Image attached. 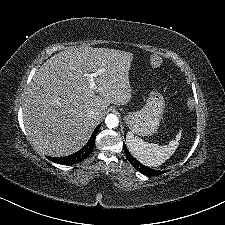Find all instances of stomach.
Listing matches in <instances>:
<instances>
[{
	"label": "stomach",
	"instance_id": "obj_1",
	"mask_svg": "<svg viewBox=\"0 0 225 225\" xmlns=\"http://www.w3.org/2000/svg\"><path fill=\"white\" fill-rule=\"evenodd\" d=\"M163 108L164 103L161 96H152L141 110L129 112L125 116V122L135 135H152L159 127Z\"/></svg>",
	"mask_w": 225,
	"mask_h": 225
}]
</instances>
